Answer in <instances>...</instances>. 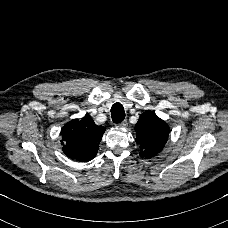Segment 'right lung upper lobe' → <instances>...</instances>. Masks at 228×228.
<instances>
[{"label":"right lung upper lobe","instance_id":"cb5924a9","mask_svg":"<svg viewBox=\"0 0 228 228\" xmlns=\"http://www.w3.org/2000/svg\"><path fill=\"white\" fill-rule=\"evenodd\" d=\"M105 132V128L96 125L93 119L86 115L82 120L74 119L61 130L63 152L69 158L87 162L92 160Z\"/></svg>","mask_w":228,"mask_h":228}]
</instances>
